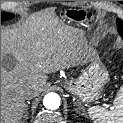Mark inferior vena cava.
Masks as SVG:
<instances>
[{"label":"inferior vena cava","instance_id":"obj_1","mask_svg":"<svg viewBox=\"0 0 123 123\" xmlns=\"http://www.w3.org/2000/svg\"><path fill=\"white\" fill-rule=\"evenodd\" d=\"M24 95L26 96V99L34 97L35 96V92L33 90V87L32 86H28L27 88H25Z\"/></svg>","mask_w":123,"mask_h":123}]
</instances>
